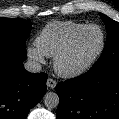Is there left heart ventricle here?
<instances>
[{"label":"left heart ventricle","instance_id":"left-heart-ventricle-1","mask_svg":"<svg viewBox=\"0 0 119 119\" xmlns=\"http://www.w3.org/2000/svg\"><path fill=\"white\" fill-rule=\"evenodd\" d=\"M101 34L98 29L86 30L75 42L72 50L64 60V66L73 68L87 62L98 50Z\"/></svg>","mask_w":119,"mask_h":119}]
</instances>
